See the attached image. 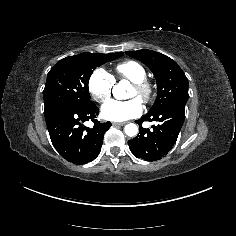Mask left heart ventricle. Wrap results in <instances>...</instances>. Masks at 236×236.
<instances>
[{
  "label": "left heart ventricle",
  "instance_id": "left-heart-ventricle-1",
  "mask_svg": "<svg viewBox=\"0 0 236 236\" xmlns=\"http://www.w3.org/2000/svg\"><path fill=\"white\" fill-rule=\"evenodd\" d=\"M127 99H131V100H133V99L139 100L140 99L138 91L135 88H133L132 86L129 89Z\"/></svg>",
  "mask_w": 236,
  "mask_h": 236
}]
</instances>
